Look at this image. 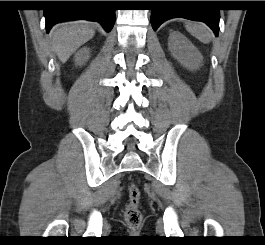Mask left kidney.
Segmentation results:
<instances>
[{
    "label": "left kidney",
    "mask_w": 265,
    "mask_h": 245,
    "mask_svg": "<svg viewBox=\"0 0 265 245\" xmlns=\"http://www.w3.org/2000/svg\"><path fill=\"white\" fill-rule=\"evenodd\" d=\"M168 48L172 56L189 70H197L203 61V56L197 48L179 31L169 35Z\"/></svg>",
    "instance_id": "1"
}]
</instances>
